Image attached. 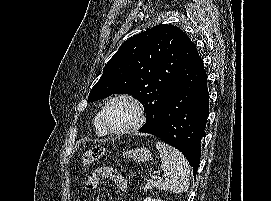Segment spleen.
Instances as JSON below:
<instances>
[{
	"instance_id": "spleen-1",
	"label": "spleen",
	"mask_w": 271,
	"mask_h": 201,
	"mask_svg": "<svg viewBox=\"0 0 271 201\" xmlns=\"http://www.w3.org/2000/svg\"><path fill=\"white\" fill-rule=\"evenodd\" d=\"M156 148L161 157V168L164 180L161 182L165 189L176 194H184L190 183V166L184 155L176 148L158 141Z\"/></svg>"
}]
</instances>
